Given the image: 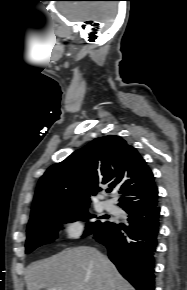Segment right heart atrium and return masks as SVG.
Segmentation results:
<instances>
[{"mask_svg":"<svg viewBox=\"0 0 187 290\" xmlns=\"http://www.w3.org/2000/svg\"><path fill=\"white\" fill-rule=\"evenodd\" d=\"M86 231V224L80 217H74L66 221L64 234L69 241L80 239Z\"/></svg>","mask_w":187,"mask_h":290,"instance_id":"right-heart-atrium-1","label":"right heart atrium"}]
</instances>
